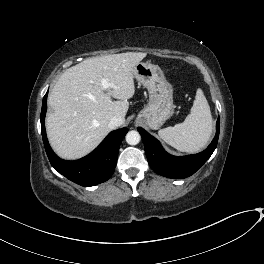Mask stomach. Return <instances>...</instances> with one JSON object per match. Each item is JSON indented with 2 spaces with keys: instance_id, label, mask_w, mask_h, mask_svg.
Wrapping results in <instances>:
<instances>
[{
  "instance_id": "1",
  "label": "stomach",
  "mask_w": 264,
  "mask_h": 264,
  "mask_svg": "<svg viewBox=\"0 0 264 264\" xmlns=\"http://www.w3.org/2000/svg\"><path fill=\"white\" fill-rule=\"evenodd\" d=\"M133 76L149 93V102L139 112L137 121L156 130L174 113L172 85L158 65L148 62L138 63L134 67Z\"/></svg>"
}]
</instances>
